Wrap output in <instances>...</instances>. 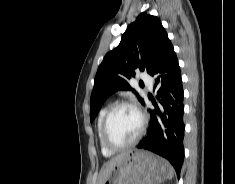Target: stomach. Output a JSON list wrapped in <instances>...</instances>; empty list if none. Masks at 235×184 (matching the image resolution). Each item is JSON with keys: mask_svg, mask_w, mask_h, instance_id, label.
I'll list each match as a JSON object with an SVG mask.
<instances>
[{"mask_svg": "<svg viewBox=\"0 0 235 184\" xmlns=\"http://www.w3.org/2000/svg\"><path fill=\"white\" fill-rule=\"evenodd\" d=\"M169 164L163 158H155L150 152L136 150L125 160L113 166L104 184H161L166 180Z\"/></svg>", "mask_w": 235, "mask_h": 184, "instance_id": "obj_1", "label": "stomach"}]
</instances>
